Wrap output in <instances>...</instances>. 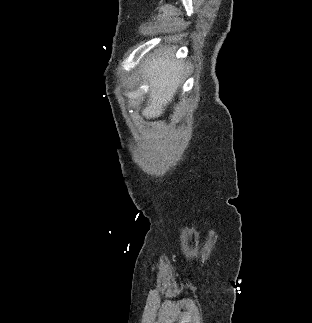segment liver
Here are the masks:
<instances>
[{
    "label": "liver",
    "instance_id": "6515ba94",
    "mask_svg": "<svg viewBox=\"0 0 312 323\" xmlns=\"http://www.w3.org/2000/svg\"><path fill=\"white\" fill-rule=\"evenodd\" d=\"M182 60H175L173 48H167L165 54L152 56L144 66V78L150 84L147 108L142 110V116L147 120L160 118L165 106L171 104L177 88L182 84L185 74Z\"/></svg>",
    "mask_w": 312,
    "mask_h": 323
}]
</instances>
